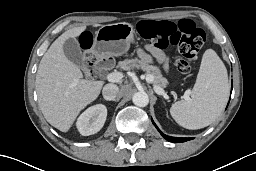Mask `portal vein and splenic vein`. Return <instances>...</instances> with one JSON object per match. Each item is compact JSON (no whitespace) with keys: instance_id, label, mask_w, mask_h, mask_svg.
<instances>
[{"instance_id":"portal-vein-and-splenic-vein-1","label":"portal vein and splenic vein","mask_w":256,"mask_h":171,"mask_svg":"<svg viewBox=\"0 0 256 171\" xmlns=\"http://www.w3.org/2000/svg\"><path fill=\"white\" fill-rule=\"evenodd\" d=\"M106 78L109 82H119L123 78V74L121 72H112V73H109ZM146 80H147V82H153V76L148 75L146 77ZM154 90L157 94L166 96V93L164 92V90L161 87L154 86ZM184 98L188 100L189 94L185 93Z\"/></svg>"}]
</instances>
